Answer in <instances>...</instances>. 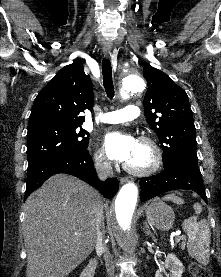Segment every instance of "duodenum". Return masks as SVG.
Returning <instances> with one entry per match:
<instances>
[{"instance_id":"1","label":"duodenum","mask_w":221,"mask_h":277,"mask_svg":"<svg viewBox=\"0 0 221 277\" xmlns=\"http://www.w3.org/2000/svg\"><path fill=\"white\" fill-rule=\"evenodd\" d=\"M96 267H97V260L96 259H92L87 264V266L83 270V272H82L80 277H94L95 271H96Z\"/></svg>"}]
</instances>
